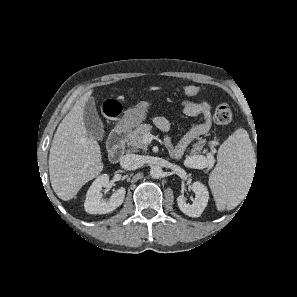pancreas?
<instances>
[{
  "label": "pancreas",
  "instance_id": "cf45deb5",
  "mask_svg": "<svg viewBox=\"0 0 297 297\" xmlns=\"http://www.w3.org/2000/svg\"><path fill=\"white\" fill-rule=\"evenodd\" d=\"M151 130L152 126L150 124L138 125L136 129L129 134L128 146L133 149L147 150L148 144L144 141V135L150 133ZM200 151V147H195L191 150V155L197 156Z\"/></svg>",
  "mask_w": 297,
  "mask_h": 297
}]
</instances>
